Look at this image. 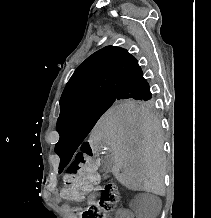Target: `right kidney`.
<instances>
[{"instance_id":"ca27d5eb","label":"right kidney","mask_w":211,"mask_h":218,"mask_svg":"<svg viewBox=\"0 0 211 218\" xmlns=\"http://www.w3.org/2000/svg\"><path fill=\"white\" fill-rule=\"evenodd\" d=\"M117 213H118V214H125V213H126V210H125V209H118V210H117Z\"/></svg>"}]
</instances>
